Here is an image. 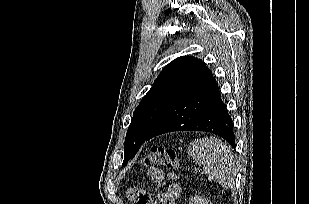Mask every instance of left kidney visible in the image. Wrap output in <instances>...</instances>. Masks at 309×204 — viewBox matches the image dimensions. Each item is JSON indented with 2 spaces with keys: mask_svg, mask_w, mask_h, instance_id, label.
<instances>
[{
  "mask_svg": "<svg viewBox=\"0 0 309 204\" xmlns=\"http://www.w3.org/2000/svg\"><path fill=\"white\" fill-rule=\"evenodd\" d=\"M189 204H212L208 199L195 195L190 199Z\"/></svg>",
  "mask_w": 309,
  "mask_h": 204,
  "instance_id": "5707ae66",
  "label": "left kidney"
}]
</instances>
